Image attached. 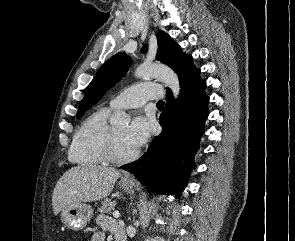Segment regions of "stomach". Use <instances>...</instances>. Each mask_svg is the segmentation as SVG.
<instances>
[{
  "mask_svg": "<svg viewBox=\"0 0 295 241\" xmlns=\"http://www.w3.org/2000/svg\"><path fill=\"white\" fill-rule=\"evenodd\" d=\"M121 188L128 192H134L133 181H120ZM93 215V209L91 206L78 202L65 206L61 211L62 222L72 230H82L87 225L88 221Z\"/></svg>",
  "mask_w": 295,
  "mask_h": 241,
  "instance_id": "0dacf381",
  "label": "stomach"
}]
</instances>
